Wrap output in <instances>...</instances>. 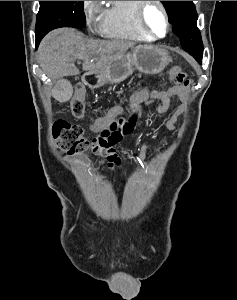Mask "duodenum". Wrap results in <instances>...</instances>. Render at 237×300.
Wrapping results in <instances>:
<instances>
[{
    "instance_id": "1",
    "label": "duodenum",
    "mask_w": 237,
    "mask_h": 300,
    "mask_svg": "<svg viewBox=\"0 0 237 300\" xmlns=\"http://www.w3.org/2000/svg\"><path fill=\"white\" fill-rule=\"evenodd\" d=\"M98 73L95 71L89 72L85 75V83L90 87H95L98 84Z\"/></svg>"
}]
</instances>
